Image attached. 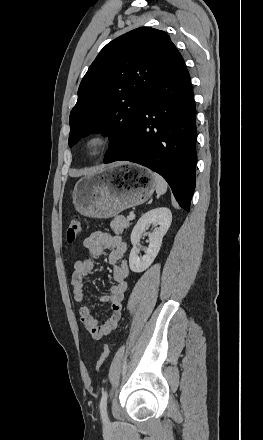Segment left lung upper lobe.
<instances>
[{
  "mask_svg": "<svg viewBox=\"0 0 263 440\" xmlns=\"http://www.w3.org/2000/svg\"><path fill=\"white\" fill-rule=\"evenodd\" d=\"M175 45L164 31L140 27L114 39L83 77L70 113L69 146L90 133L109 135L106 158L131 145L135 120Z\"/></svg>",
  "mask_w": 263,
  "mask_h": 440,
  "instance_id": "1",
  "label": "left lung upper lobe"
}]
</instances>
